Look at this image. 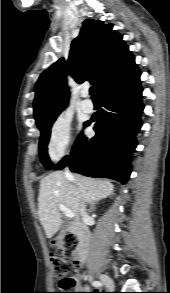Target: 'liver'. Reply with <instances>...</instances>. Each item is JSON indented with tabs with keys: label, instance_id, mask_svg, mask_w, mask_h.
I'll return each mask as SVG.
<instances>
[{
	"label": "liver",
	"instance_id": "6515ba94",
	"mask_svg": "<svg viewBox=\"0 0 170 293\" xmlns=\"http://www.w3.org/2000/svg\"><path fill=\"white\" fill-rule=\"evenodd\" d=\"M114 186L106 180L82 175L68 177L65 172H52L40 181L38 197L39 220L47 238H51L61 227L62 218L59 204L74 213L80 221V208L84 203H93L110 196Z\"/></svg>",
	"mask_w": 170,
	"mask_h": 293
}]
</instances>
